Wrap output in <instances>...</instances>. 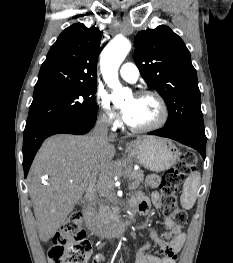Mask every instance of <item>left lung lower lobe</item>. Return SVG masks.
<instances>
[{
	"mask_svg": "<svg viewBox=\"0 0 233 263\" xmlns=\"http://www.w3.org/2000/svg\"><path fill=\"white\" fill-rule=\"evenodd\" d=\"M150 135L162 136L174 139L182 144L190 146L200 152L205 159L206 136L192 129L162 128L149 133Z\"/></svg>",
	"mask_w": 233,
	"mask_h": 263,
	"instance_id": "1",
	"label": "left lung lower lobe"
}]
</instances>
